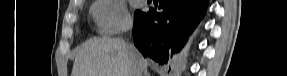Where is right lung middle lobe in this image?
<instances>
[{"label": "right lung middle lobe", "mask_w": 287, "mask_h": 76, "mask_svg": "<svg viewBox=\"0 0 287 76\" xmlns=\"http://www.w3.org/2000/svg\"><path fill=\"white\" fill-rule=\"evenodd\" d=\"M139 13H140V11H136V12H135V16L138 15ZM135 16H134V17H135Z\"/></svg>", "instance_id": "1"}]
</instances>
